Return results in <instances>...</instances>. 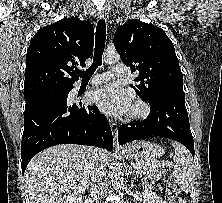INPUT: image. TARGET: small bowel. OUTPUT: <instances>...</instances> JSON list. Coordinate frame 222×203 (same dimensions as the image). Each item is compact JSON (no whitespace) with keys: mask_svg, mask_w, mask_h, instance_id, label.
<instances>
[{"mask_svg":"<svg viewBox=\"0 0 222 203\" xmlns=\"http://www.w3.org/2000/svg\"><path fill=\"white\" fill-rule=\"evenodd\" d=\"M170 203H178V202L174 201L173 199H170Z\"/></svg>","mask_w":222,"mask_h":203,"instance_id":"1","label":"small bowel"}]
</instances>
